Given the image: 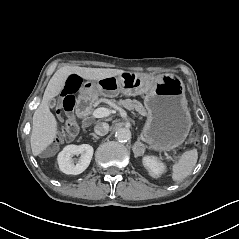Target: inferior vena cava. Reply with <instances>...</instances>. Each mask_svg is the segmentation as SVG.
<instances>
[{
	"instance_id": "602c4592",
	"label": "inferior vena cava",
	"mask_w": 239,
	"mask_h": 239,
	"mask_svg": "<svg viewBox=\"0 0 239 239\" xmlns=\"http://www.w3.org/2000/svg\"><path fill=\"white\" fill-rule=\"evenodd\" d=\"M94 131L99 136H104L109 132V125L105 122L97 123L94 127Z\"/></svg>"
}]
</instances>
